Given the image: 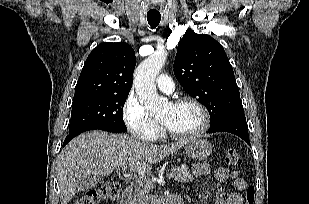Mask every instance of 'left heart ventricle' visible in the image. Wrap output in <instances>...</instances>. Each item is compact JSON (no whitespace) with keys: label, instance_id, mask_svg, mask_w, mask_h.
I'll list each match as a JSON object with an SVG mask.
<instances>
[{"label":"left heart ventricle","instance_id":"obj_1","mask_svg":"<svg viewBox=\"0 0 309 204\" xmlns=\"http://www.w3.org/2000/svg\"><path fill=\"white\" fill-rule=\"evenodd\" d=\"M159 119L175 133L187 134L196 131L202 123V115L192 104L173 106L168 104L159 115Z\"/></svg>","mask_w":309,"mask_h":204}]
</instances>
